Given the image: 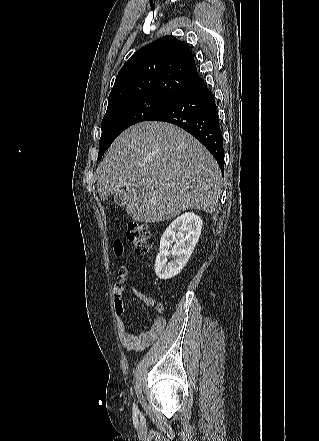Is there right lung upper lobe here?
<instances>
[{
	"instance_id": "cb5924a9",
	"label": "right lung upper lobe",
	"mask_w": 319,
	"mask_h": 441,
	"mask_svg": "<svg viewBox=\"0 0 319 441\" xmlns=\"http://www.w3.org/2000/svg\"><path fill=\"white\" fill-rule=\"evenodd\" d=\"M198 77L188 46L173 36L162 37L139 49L123 65L107 108L144 96L173 100Z\"/></svg>"
}]
</instances>
